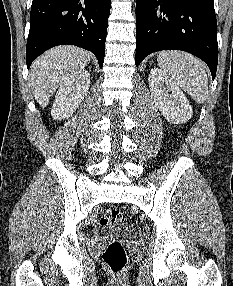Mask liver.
I'll return each mask as SVG.
<instances>
[{"mask_svg": "<svg viewBox=\"0 0 233 286\" xmlns=\"http://www.w3.org/2000/svg\"><path fill=\"white\" fill-rule=\"evenodd\" d=\"M91 53L70 45L43 53L31 66L30 85L38 104L45 108L56 89L90 62Z\"/></svg>", "mask_w": 233, "mask_h": 286, "instance_id": "liver-1", "label": "liver"}]
</instances>
